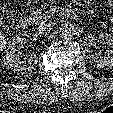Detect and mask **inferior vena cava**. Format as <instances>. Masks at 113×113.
I'll list each match as a JSON object with an SVG mask.
<instances>
[{"instance_id":"602c4592","label":"inferior vena cava","mask_w":113,"mask_h":113,"mask_svg":"<svg viewBox=\"0 0 113 113\" xmlns=\"http://www.w3.org/2000/svg\"><path fill=\"white\" fill-rule=\"evenodd\" d=\"M54 23L52 22H47V23H41V25L38 27V32L43 34L46 32H49L53 29Z\"/></svg>"}]
</instances>
